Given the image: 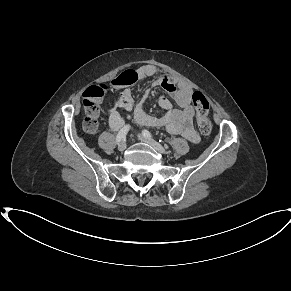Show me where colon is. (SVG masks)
I'll list each match as a JSON object with an SVG mask.
<instances>
[{
  "instance_id": "5ec220e1",
  "label": "colon",
  "mask_w": 291,
  "mask_h": 291,
  "mask_svg": "<svg viewBox=\"0 0 291 291\" xmlns=\"http://www.w3.org/2000/svg\"><path fill=\"white\" fill-rule=\"evenodd\" d=\"M133 78L124 79L118 85H124L131 83ZM106 86H91L84 94V109L86 112V118L83 122V128L88 133L95 132L99 127L100 109L99 103L102 100ZM192 102L196 112V124L199 132L203 135L210 134L212 130V123L209 119V101L206 96L199 91H196L192 95Z\"/></svg>"
}]
</instances>
